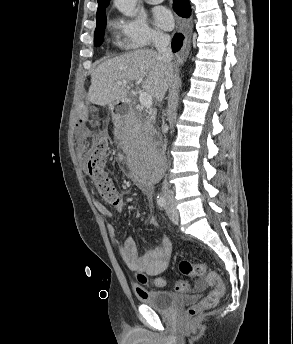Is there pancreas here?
Segmentation results:
<instances>
[{
    "label": "pancreas",
    "instance_id": "cf45deb5",
    "mask_svg": "<svg viewBox=\"0 0 293 344\" xmlns=\"http://www.w3.org/2000/svg\"><path fill=\"white\" fill-rule=\"evenodd\" d=\"M152 122L153 119L151 116H147L146 120L144 121V123L140 122V121H136L132 124L130 131L136 135L142 132H149L152 128Z\"/></svg>",
    "mask_w": 293,
    "mask_h": 344
}]
</instances>
